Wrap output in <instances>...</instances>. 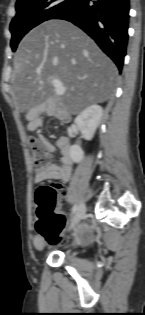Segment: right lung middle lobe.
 <instances>
[{
	"instance_id": "right-lung-middle-lobe-1",
	"label": "right lung middle lobe",
	"mask_w": 145,
	"mask_h": 315,
	"mask_svg": "<svg viewBox=\"0 0 145 315\" xmlns=\"http://www.w3.org/2000/svg\"><path fill=\"white\" fill-rule=\"evenodd\" d=\"M74 0H21L16 3V16L10 24L12 33L11 48L16 50L18 43L32 28L54 17Z\"/></svg>"
}]
</instances>
